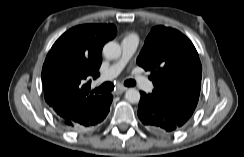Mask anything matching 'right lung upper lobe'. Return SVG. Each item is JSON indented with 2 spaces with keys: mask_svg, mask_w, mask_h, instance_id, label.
Segmentation results:
<instances>
[{
  "mask_svg": "<svg viewBox=\"0 0 244 157\" xmlns=\"http://www.w3.org/2000/svg\"><path fill=\"white\" fill-rule=\"evenodd\" d=\"M113 24H86L71 28L52 46L42 69L45 99L61 119L81 115L104 95L90 93V81L99 76L104 44L116 36Z\"/></svg>",
  "mask_w": 244,
  "mask_h": 157,
  "instance_id": "obj_1",
  "label": "right lung upper lobe"
}]
</instances>
